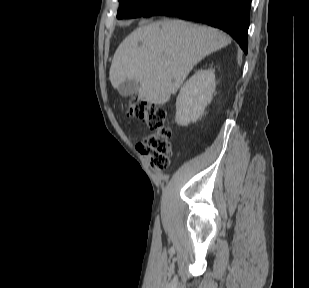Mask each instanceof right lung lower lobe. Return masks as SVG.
I'll use <instances>...</instances> for the list:
<instances>
[{
	"label": "right lung lower lobe",
	"mask_w": 309,
	"mask_h": 288,
	"mask_svg": "<svg viewBox=\"0 0 309 288\" xmlns=\"http://www.w3.org/2000/svg\"><path fill=\"white\" fill-rule=\"evenodd\" d=\"M252 0H164L142 16H176L220 28L247 53Z\"/></svg>",
	"instance_id": "right-lung-lower-lobe-1"
}]
</instances>
